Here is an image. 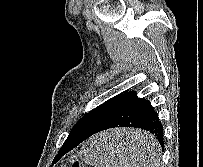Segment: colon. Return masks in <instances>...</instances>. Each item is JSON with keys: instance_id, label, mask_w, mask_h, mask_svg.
I'll list each match as a JSON object with an SVG mask.
<instances>
[{"instance_id": "obj_1", "label": "colon", "mask_w": 203, "mask_h": 167, "mask_svg": "<svg viewBox=\"0 0 203 167\" xmlns=\"http://www.w3.org/2000/svg\"><path fill=\"white\" fill-rule=\"evenodd\" d=\"M71 167H86V166L78 161H73Z\"/></svg>"}]
</instances>
